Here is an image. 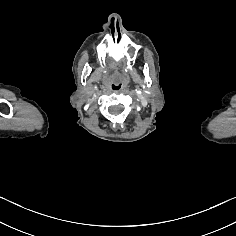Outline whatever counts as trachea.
Instances as JSON below:
<instances>
[{
	"instance_id": "trachea-1",
	"label": "trachea",
	"mask_w": 236,
	"mask_h": 236,
	"mask_svg": "<svg viewBox=\"0 0 236 236\" xmlns=\"http://www.w3.org/2000/svg\"><path fill=\"white\" fill-rule=\"evenodd\" d=\"M112 89H113V91H114V92H116V93H117V92H119V91H120V89H121V88H120V86H119V85H117V84H116V85H114V86H113V88H112Z\"/></svg>"
}]
</instances>
